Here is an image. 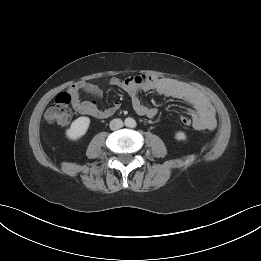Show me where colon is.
<instances>
[{
  "label": "colon",
  "instance_id": "obj_1",
  "mask_svg": "<svg viewBox=\"0 0 261 261\" xmlns=\"http://www.w3.org/2000/svg\"><path fill=\"white\" fill-rule=\"evenodd\" d=\"M70 101L71 97L68 93L63 92L58 94L54 103L49 106L45 113L46 120L58 125L68 124L72 116ZM181 122L185 126L192 125V119L190 117H181Z\"/></svg>",
  "mask_w": 261,
  "mask_h": 261
}]
</instances>
